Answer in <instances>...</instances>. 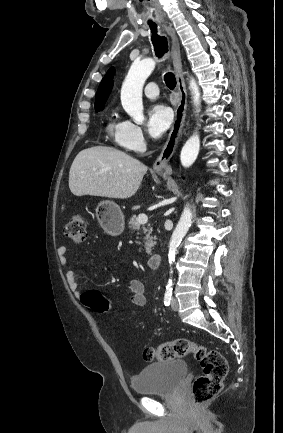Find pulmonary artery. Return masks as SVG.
<instances>
[{
  "label": "pulmonary artery",
  "instance_id": "obj_1",
  "mask_svg": "<svg viewBox=\"0 0 283 433\" xmlns=\"http://www.w3.org/2000/svg\"><path fill=\"white\" fill-rule=\"evenodd\" d=\"M144 93L148 98L153 99V98L159 97L160 90H159V88H156L155 82H148V83H146V85L144 87Z\"/></svg>",
  "mask_w": 283,
  "mask_h": 433
}]
</instances>
